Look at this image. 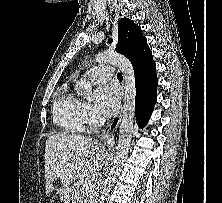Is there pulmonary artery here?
<instances>
[{"instance_id": "1", "label": "pulmonary artery", "mask_w": 222, "mask_h": 203, "mask_svg": "<svg viewBox=\"0 0 222 203\" xmlns=\"http://www.w3.org/2000/svg\"><path fill=\"white\" fill-rule=\"evenodd\" d=\"M113 70L110 65H98L87 70L82 78H89L94 83H105L112 77Z\"/></svg>"}]
</instances>
